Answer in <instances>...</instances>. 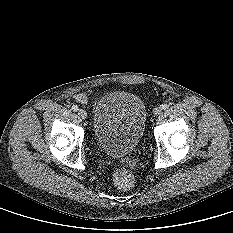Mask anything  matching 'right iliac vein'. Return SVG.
<instances>
[{
    "mask_svg": "<svg viewBox=\"0 0 233 233\" xmlns=\"http://www.w3.org/2000/svg\"><path fill=\"white\" fill-rule=\"evenodd\" d=\"M78 114H79V116H80L82 119H85V118L87 117V113H86V111L83 110V109H79V110H78Z\"/></svg>",
    "mask_w": 233,
    "mask_h": 233,
    "instance_id": "1",
    "label": "right iliac vein"
}]
</instances>
